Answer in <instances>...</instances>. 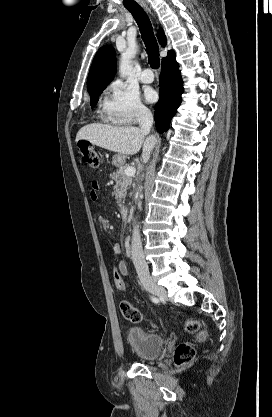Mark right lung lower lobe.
Wrapping results in <instances>:
<instances>
[{
    "label": "right lung lower lobe",
    "mask_w": 272,
    "mask_h": 417,
    "mask_svg": "<svg viewBox=\"0 0 272 417\" xmlns=\"http://www.w3.org/2000/svg\"><path fill=\"white\" fill-rule=\"evenodd\" d=\"M159 81V101L155 105V121L157 130L163 133L168 130L171 118L177 112L184 91L179 65L173 51L162 59Z\"/></svg>",
    "instance_id": "1"
}]
</instances>
